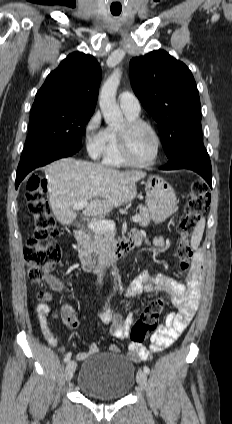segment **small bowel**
Instances as JSON below:
<instances>
[{
    "mask_svg": "<svg viewBox=\"0 0 232 424\" xmlns=\"http://www.w3.org/2000/svg\"><path fill=\"white\" fill-rule=\"evenodd\" d=\"M131 234L138 235L140 237V244L142 243V236L139 232L132 231ZM152 244L155 247H163L165 242L161 238H156L152 241ZM202 275L203 262L201 256L198 255L194 260L191 270L185 276V285L173 278H165L150 272H143L126 288L125 297L129 300L136 298L142 293H168L172 305L177 308L176 312H169L165 316L164 323L153 334L149 347L135 343L129 344L128 354L134 362L144 361L152 353L169 348L186 329L199 306ZM51 285L57 292L64 291L63 283L60 280H52ZM36 315L45 340L50 346H56L58 340L49 322V306L45 303H39L36 306ZM60 316L69 328L76 329L78 327L79 322L70 305H63ZM101 320L110 326L109 332L113 337L117 339L128 338L129 329L132 324L131 315L123 318L118 313H112L106 310L102 313ZM109 350L112 353L120 352L117 345H111ZM98 352V345L92 343L87 352L77 354V359L81 361L87 356L95 355Z\"/></svg>",
    "mask_w": 232,
    "mask_h": 424,
    "instance_id": "obj_1",
    "label": "small bowel"
}]
</instances>
